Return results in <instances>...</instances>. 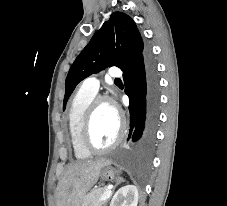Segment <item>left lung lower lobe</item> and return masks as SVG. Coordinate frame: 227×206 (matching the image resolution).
<instances>
[{
    "label": "left lung lower lobe",
    "mask_w": 227,
    "mask_h": 206,
    "mask_svg": "<svg viewBox=\"0 0 227 206\" xmlns=\"http://www.w3.org/2000/svg\"><path fill=\"white\" fill-rule=\"evenodd\" d=\"M125 93L129 96L130 131L127 140L138 155L154 144L159 109V83L149 50L123 71Z\"/></svg>",
    "instance_id": "0a47b994"
}]
</instances>
